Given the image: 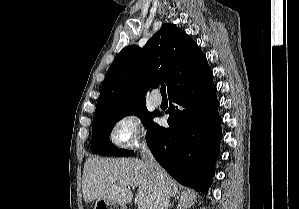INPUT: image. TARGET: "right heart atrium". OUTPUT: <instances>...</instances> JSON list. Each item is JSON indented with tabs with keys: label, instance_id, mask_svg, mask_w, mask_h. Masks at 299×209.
I'll return each mask as SVG.
<instances>
[{
	"label": "right heart atrium",
	"instance_id": "obj_1",
	"mask_svg": "<svg viewBox=\"0 0 299 209\" xmlns=\"http://www.w3.org/2000/svg\"><path fill=\"white\" fill-rule=\"evenodd\" d=\"M113 145L125 149H137L146 143L143 121L140 116L126 111L114 119L109 133Z\"/></svg>",
	"mask_w": 299,
	"mask_h": 209
}]
</instances>
